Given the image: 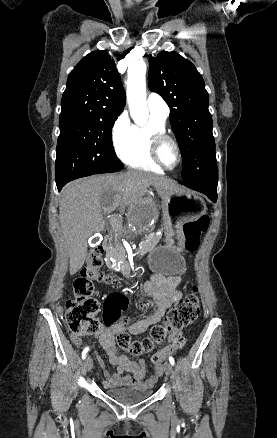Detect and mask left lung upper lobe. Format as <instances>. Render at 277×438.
<instances>
[{
	"label": "left lung upper lobe",
	"instance_id": "left-lung-upper-lobe-1",
	"mask_svg": "<svg viewBox=\"0 0 277 438\" xmlns=\"http://www.w3.org/2000/svg\"><path fill=\"white\" fill-rule=\"evenodd\" d=\"M148 83L170 107L183 161V182L217 186L218 169L209 96L194 65L176 52L149 58Z\"/></svg>",
	"mask_w": 277,
	"mask_h": 438
}]
</instances>
